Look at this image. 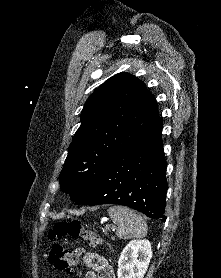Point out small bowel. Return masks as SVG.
I'll return each instance as SVG.
<instances>
[{
	"mask_svg": "<svg viewBox=\"0 0 221 278\" xmlns=\"http://www.w3.org/2000/svg\"><path fill=\"white\" fill-rule=\"evenodd\" d=\"M81 261L91 272L88 278H115L114 270L103 256L97 253H81Z\"/></svg>",
	"mask_w": 221,
	"mask_h": 278,
	"instance_id": "c3829d8e",
	"label": "small bowel"
}]
</instances>
